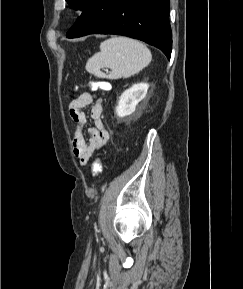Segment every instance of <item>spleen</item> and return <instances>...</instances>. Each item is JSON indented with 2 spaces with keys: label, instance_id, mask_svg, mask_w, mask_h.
Here are the masks:
<instances>
[{
  "label": "spleen",
  "instance_id": "obj_1",
  "mask_svg": "<svg viewBox=\"0 0 243 289\" xmlns=\"http://www.w3.org/2000/svg\"><path fill=\"white\" fill-rule=\"evenodd\" d=\"M151 59V52L143 43L115 36L101 43L100 52L88 59L86 70L98 78H127L148 66ZM104 67L111 69L110 74L101 71Z\"/></svg>",
  "mask_w": 243,
  "mask_h": 289
}]
</instances>
